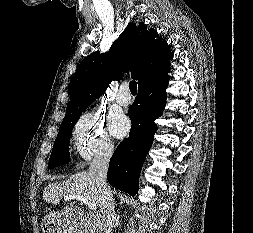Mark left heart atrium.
Returning <instances> with one entry per match:
<instances>
[{
	"mask_svg": "<svg viewBox=\"0 0 253 233\" xmlns=\"http://www.w3.org/2000/svg\"><path fill=\"white\" fill-rule=\"evenodd\" d=\"M109 128L114 136L120 138L128 133L130 129V123L129 120L123 115L114 114L109 118Z\"/></svg>",
	"mask_w": 253,
	"mask_h": 233,
	"instance_id": "left-heart-atrium-1",
	"label": "left heart atrium"
}]
</instances>
